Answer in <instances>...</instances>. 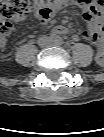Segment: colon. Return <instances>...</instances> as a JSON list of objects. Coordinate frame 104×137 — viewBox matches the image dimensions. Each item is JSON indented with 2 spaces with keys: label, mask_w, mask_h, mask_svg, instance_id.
<instances>
[{
  "label": "colon",
  "mask_w": 104,
  "mask_h": 137,
  "mask_svg": "<svg viewBox=\"0 0 104 137\" xmlns=\"http://www.w3.org/2000/svg\"><path fill=\"white\" fill-rule=\"evenodd\" d=\"M77 0H5L0 6V35L11 31V22L19 20L28 14L35 13L42 19H49L59 7ZM102 6L103 0L94 1Z\"/></svg>",
  "instance_id": "colon-1"
}]
</instances>
